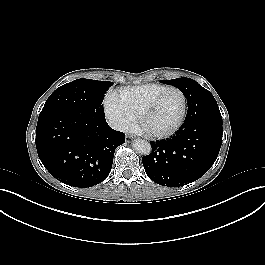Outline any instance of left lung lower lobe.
I'll return each instance as SVG.
<instances>
[{
    "instance_id": "0a47b994",
    "label": "left lung lower lobe",
    "mask_w": 265,
    "mask_h": 265,
    "mask_svg": "<svg viewBox=\"0 0 265 265\" xmlns=\"http://www.w3.org/2000/svg\"><path fill=\"white\" fill-rule=\"evenodd\" d=\"M184 124L168 140L151 142L143 156L147 176L159 185L180 187L202 177L214 164L222 144V116L213 95L197 88L187 99Z\"/></svg>"
}]
</instances>
